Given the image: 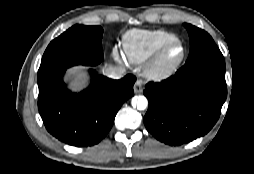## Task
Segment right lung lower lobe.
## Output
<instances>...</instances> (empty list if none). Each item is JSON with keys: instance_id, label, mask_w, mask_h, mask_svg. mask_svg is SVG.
I'll list each match as a JSON object with an SVG mask.
<instances>
[{"instance_id": "obj_1", "label": "right lung lower lobe", "mask_w": 254, "mask_h": 174, "mask_svg": "<svg viewBox=\"0 0 254 174\" xmlns=\"http://www.w3.org/2000/svg\"><path fill=\"white\" fill-rule=\"evenodd\" d=\"M69 67L38 80L39 113L48 132L58 140L77 147L92 146L108 134L118 110L134 95L136 77L128 74L112 80L91 69L90 86L75 94L63 82V74Z\"/></svg>"}]
</instances>
